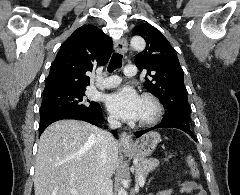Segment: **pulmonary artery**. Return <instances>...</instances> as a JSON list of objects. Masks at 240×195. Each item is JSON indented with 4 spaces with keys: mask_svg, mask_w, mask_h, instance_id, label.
I'll use <instances>...</instances> for the list:
<instances>
[{
    "mask_svg": "<svg viewBox=\"0 0 240 195\" xmlns=\"http://www.w3.org/2000/svg\"><path fill=\"white\" fill-rule=\"evenodd\" d=\"M135 70V66L134 65H126L125 69H124V74H126V76H136V71ZM120 81L119 78H117L116 75H113L110 78H106L105 80H103L102 85L104 87H112L116 84H118Z\"/></svg>",
    "mask_w": 240,
    "mask_h": 195,
    "instance_id": "obj_1",
    "label": "pulmonary artery"
}]
</instances>
